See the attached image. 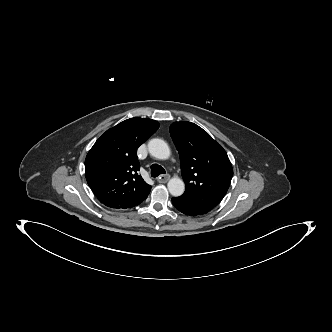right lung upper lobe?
Masks as SVG:
<instances>
[{
    "instance_id": "right-lung-upper-lobe-1",
    "label": "right lung upper lobe",
    "mask_w": 332,
    "mask_h": 332,
    "mask_svg": "<svg viewBox=\"0 0 332 332\" xmlns=\"http://www.w3.org/2000/svg\"><path fill=\"white\" fill-rule=\"evenodd\" d=\"M159 128L152 119L130 118L107 130L85 159L89 187L104 205L126 209L143 202L150 190L141 175L138 147Z\"/></svg>"
}]
</instances>
